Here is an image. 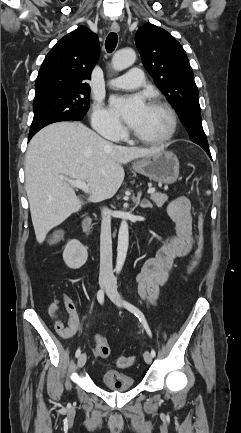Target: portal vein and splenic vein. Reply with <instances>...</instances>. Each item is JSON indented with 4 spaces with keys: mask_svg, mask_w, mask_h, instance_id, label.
I'll use <instances>...</instances> for the list:
<instances>
[{
    "mask_svg": "<svg viewBox=\"0 0 241 433\" xmlns=\"http://www.w3.org/2000/svg\"><path fill=\"white\" fill-rule=\"evenodd\" d=\"M61 179L65 180L66 182H68L69 184H71V186L75 187V188H79L82 191L88 193L89 192V185L86 184L85 181L82 180H73V179H69L67 177L61 176ZM148 194H152L155 192V188H149L148 189Z\"/></svg>",
    "mask_w": 241,
    "mask_h": 433,
    "instance_id": "obj_1",
    "label": "portal vein and splenic vein"
}]
</instances>
